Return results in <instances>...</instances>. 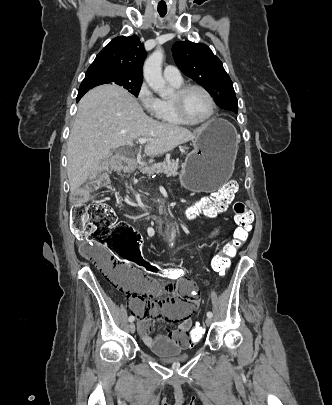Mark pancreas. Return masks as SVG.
Listing matches in <instances>:
<instances>
[{
    "label": "pancreas",
    "mask_w": 332,
    "mask_h": 405,
    "mask_svg": "<svg viewBox=\"0 0 332 405\" xmlns=\"http://www.w3.org/2000/svg\"><path fill=\"white\" fill-rule=\"evenodd\" d=\"M179 163L175 160H166V162H159L153 164L148 169L149 174L163 173L167 177H175L178 175Z\"/></svg>",
    "instance_id": "cf45deb5"
}]
</instances>
